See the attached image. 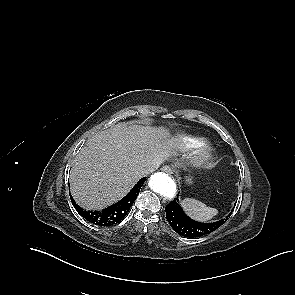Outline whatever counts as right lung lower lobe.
<instances>
[{
	"label": "right lung lower lobe",
	"instance_id": "obj_1",
	"mask_svg": "<svg viewBox=\"0 0 295 295\" xmlns=\"http://www.w3.org/2000/svg\"><path fill=\"white\" fill-rule=\"evenodd\" d=\"M146 177L142 178L134 188L119 202L103 209L102 211H86L76 204L71 197V201L77 212L87 221L99 225L110 226L119 223L129 212L131 205L136 200L141 186L144 184Z\"/></svg>",
	"mask_w": 295,
	"mask_h": 295
}]
</instances>
